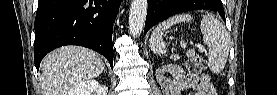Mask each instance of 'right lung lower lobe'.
<instances>
[{
  "instance_id": "98d812e1",
  "label": "right lung lower lobe",
  "mask_w": 277,
  "mask_h": 95,
  "mask_svg": "<svg viewBox=\"0 0 277 95\" xmlns=\"http://www.w3.org/2000/svg\"><path fill=\"white\" fill-rule=\"evenodd\" d=\"M121 0H39L35 18L34 62L65 45L93 49L113 68L112 32Z\"/></svg>"
}]
</instances>
